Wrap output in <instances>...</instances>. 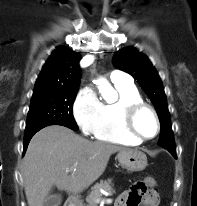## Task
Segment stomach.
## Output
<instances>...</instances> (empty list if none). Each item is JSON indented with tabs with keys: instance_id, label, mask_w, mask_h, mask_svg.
I'll use <instances>...</instances> for the list:
<instances>
[{
	"instance_id": "obj_1",
	"label": "stomach",
	"mask_w": 197,
	"mask_h": 206,
	"mask_svg": "<svg viewBox=\"0 0 197 206\" xmlns=\"http://www.w3.org/2000/svg\"><path fill=\"white\" fill-rule=\"evenodd\" d=\"M121 166L129 172L142 171L147 166L146 155L138 150H124L117 155ZM72 206H82V204H73Z\"/></svg>"
}]
</instances>
